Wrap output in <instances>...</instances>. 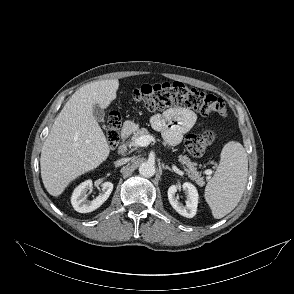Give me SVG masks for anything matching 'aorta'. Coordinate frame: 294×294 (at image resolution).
<instances>
[{
    "label": "aorta",
    "instance_id": "aorta-1",
    "mask_svg": "<svg viewBox=\"0 0 294 294\" xmlns=\"http://www.w3.org/2000/svg\"><path fill=\"white\" fill-rule=\"evenodd\" d=\"M139 173L143 177L150 178L155 174V165L151 162H144L139 166Z\"/></svg>",
    "mask_w": 294,
    "mask_h": 294
}]
</instances>
